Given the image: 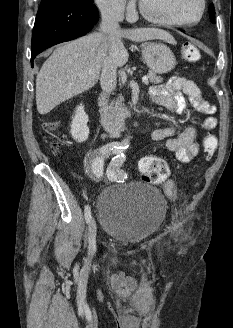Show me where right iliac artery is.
<instances>
[{"instance_id": "obj_1", "label": "right iliac artery", "mask_w": 233, "mask_h": 328, "mask_svg": "<svg viewBox=\"0 0 233 328\" xmlns=\"http://www.w3.org/2000/svg\"><path fill=\"white\" fill-rule=\"evenodd\" d=\"M127 146L120 143H111L91 152L85 161L86 172L94 179L98 180L103 176V163L111 154L119 155L124 152ZM85 219L87 223L91 221V211L89 205L85 206Z\"/></svg>"}]
</instances>
